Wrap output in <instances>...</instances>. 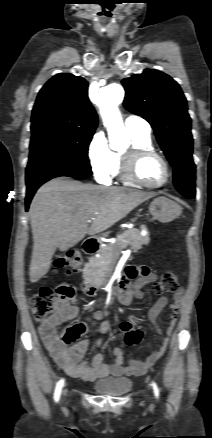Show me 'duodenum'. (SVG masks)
<instances>
[{"mask_svg": "<svg viewBox=\"0 0 212 438\" xmlns=\"http://www.w3.org/2000/svg\"><path fill=\"white\" fill-rule=\"evenodd\" d=\"M99 245L100 243L98 238H89L83 242L82 249L86 254L93 255L99 249ZM83 288L86 292L93 294L98 290V285L86 280L83 283Z\"/></svg>", "mask_w": 212, "mask_h": 438, "instance_id": "410a0bca", "label": "duodenum"}]
</instances>
